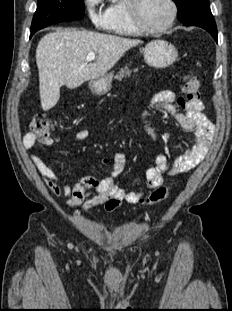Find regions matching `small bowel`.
<instances>
[{"instance_id": "c3829d8e", "label": "small bowel", "mask_w": 232, "mask_h": 311, "mask_svg": "<svg viewBox=\"0 0 232 311\" xmlns=\"http://www.w3.org/2000/svg\"><path fill=\"white\" fill-rule=\"evenodd\" d=\"M203 109L204 104L201 100L189 101L178 96L172 90H161L150 98L140 115V120L144 132L151 140L156 139V134L147 119L150 114L165 110L184 130L194 133L195 141L172 163H169L167 156L163 154L155 155L154 165L145 174L148 188L160 186L163 183L164 175H175L191 170L204 160L211 147L214 126L203 114ZM87 136V130H78L71 135L77 141H83ZM62 139L60 136L39 139L35 134L29 132L24 135L22 144L26 150H31L38 141L44 146H53ZM32 161L48 189L55 196L66 197L67 205L72 209L80 207L83 212H87L99 204H105V210L112 212L122 202L136 204L143 198L142 192L126 191L115 183V179L126 167V157L123 153L117 152L113 155L111 172L108 175L102 178L89 176L75 186L61 185L58 175L39 155L33 154ZM110 161V159H105L104 163L107 164Z\"/></svg>"}]
</instances>
